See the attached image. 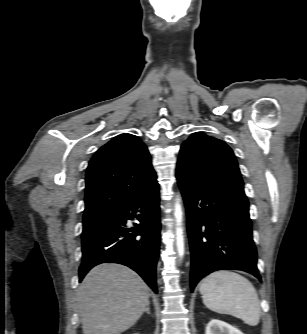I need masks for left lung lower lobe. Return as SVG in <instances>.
Wrapping results in <instances>:
<instances>
[{
	"label": "left lung lower lobe",
	"mask_w": 307,
	"mask_h": 334,
	"mask_svg": "<svg viewBox=\"0 0 307 334\" xmlns=\"http://www.w3.org/2000/svg\"><path fill=\"white\" fill-rule=\"evenodd\" d=\"M176 177L187 212L191 291L216 270H242L260 280L245 193L178 173Z\"/></svg>",
	"instance_id": "left-lung-lower-lobe-1"
}]
</instances>
